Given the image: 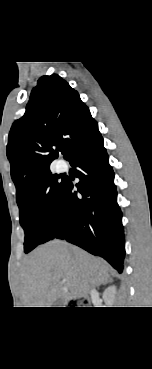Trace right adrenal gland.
Here are the masks:
<instances>
[{
    "label": "right adrenal gland",
    "instance_id": "2a0ac1e0",
    "mask_svg": "<svg viewBox=\"0 0 152 369\" xmlns=\"http://www.w3.org/2000/svg\"><path fill=\"white\" fill-rule=\"evenodd\" d=\"M111 280H108V279H106L103 283H101V284H106L107 282H110Z\"/></svg>",
    "mask_w": 152,
    "mask_h": 369
}]
</instances>
